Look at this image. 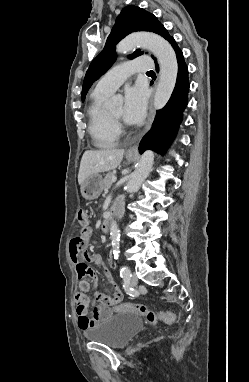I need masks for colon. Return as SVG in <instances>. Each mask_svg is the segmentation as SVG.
<instances>
[{
    "label": "colon",
    "mask_w": 249,
    "mask_h": 382,
    "mask_svg": "<svg viewBox=\"0 0 249 382\" xmlns=\"http://www.w3.org/2000/svg\"><path fill=\"white\" fill-rule=\"evenodd\" d=\"M77 219L80 226L82 227V231L86 230L90 222L89 213L84 209H80L77 214ZM77 241H83V238H79ZM83 249L85 250V247ZM78 262H79L78 265H76V270L78 273L76 280L78 282H81L83 278L87 277L88 282H96L97 276H96L95 270L89 268L87 261L82 262L79 259ZM96 299L101 305L111 307L116 312H121V311L135 312L141 315L150 324H154L159 321H162L165 323H173L176 320V316L174 312L171 310H168L166 312L156 313L141 304L123 303L121 296L116 293L113 296H110V295L98 292L96 293Z\"/></svg>",
    "instance_id": "1"
}]
</instances>
